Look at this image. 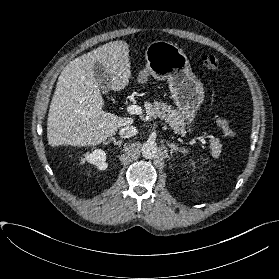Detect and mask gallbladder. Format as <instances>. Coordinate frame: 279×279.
I'll list each match as a JSON object with an SVG mask.
<instances>
[{
  "mask_svg": "<svg viewBox=\"0 0 279 279\" xmlns=\"http://www.w3.org/2000/svg\"><path fill=\"white\" fill-rule=\"evenodd\" d=\"M94 72H95V77L97 79L99 88L102 90L104 94H107L108 91L110 90L109 78L104 68L98 62L94 64Z\"/></svg>",
  "mask_w": 279,
  "mask_h": 279,
  "instance_id": "bac80fb5",
  "label": "gallbladder"
}]
</instances>
